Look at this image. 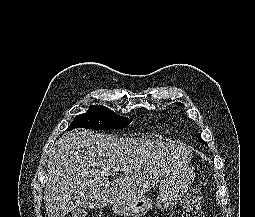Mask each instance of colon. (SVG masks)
<instances>
[{
	"instance_id": "1",
	"label": "colon",
	"mask_w": 255,
	"mask_h": 217,
	"mask_svg": "<svg viewBox=\"0 0 255 217\" xmlns=\"http://www.w3.org/2000/svg\"><path fill=\"white\" fill-rule=\"evenodd\" d=\"M202 194L199 189H191L183 199V213L181 217H204L201 206Z\"/></svg>"
}]
</instances>
